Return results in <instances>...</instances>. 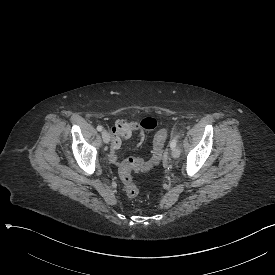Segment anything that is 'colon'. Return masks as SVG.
<instances>
[{
    "mask_svg": "<svg viewBox=\"0 0 275 275\" xmlns=\"http://www.w3.org/2000/svg\"><path fill=\"white\" fill-rule=\"evenodd\" d=\"M168 136V131L165 128L160 129L156 132L153 138V149L150 158L146 161H140L134 158H127L124 163L120 166L119 177L120 181L124 186L125 193L135 198L139 194L138 186L133 182L132 174L134 171H151L155 169L160 163L163 157L164 142ZM115 157V156H112Z\"/></svg>",
    "mask_w": 275,
    "mask_h": 275,
    "instance_id": "1",
    "label": "colon"
}]
</instances>
